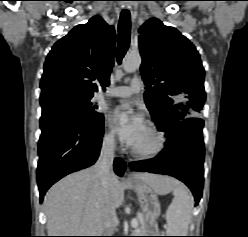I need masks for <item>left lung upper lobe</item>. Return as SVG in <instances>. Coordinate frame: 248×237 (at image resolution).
Instances as JSON below:
<instances>
[{"mask_svg":"<svg viewBox=\"0 0 248 237\" xmlns=\"http://www.w3.org/2000/svg\"><path fill=\"white\" fill-rule=\"evenodd\" d=\"M144 99L159 131L203 110L205 71L195 46L177 29L156 18L139 29Z\"/></svg>","mask_w":248,"mask_h":237,"instance_id":"left-lung-upper-lobe-1","label":"left lung upper lobe"}]
</instances>
